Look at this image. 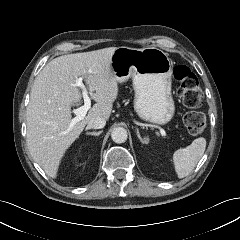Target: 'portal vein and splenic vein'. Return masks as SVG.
Returning <instances> with one entry per match:
<instances>
[{
  "label": "portal vein and splenic vein",
  "instance_id": "1",
  "mask_svg": "<svg viewBox=\"0 0 240 240\" xmlns=\"http://www.w3.org/2000/svg\"><path fill=\"white\" fill-rule=\"evenodd\" d=\"M74 85L81 88L83 99H84V105L73 110V113L76 115V117L71 120L68 131H70L76 123L81 121L86 116L87 111L91 108V100L88 96V90L83 83V77L77 78L75 80ZM159 131H160L162 136L167 135L163 128L160 127Z\"/></svg>",
  "mask_w": 240,
  "mask_h": 240
}]
</instances>
